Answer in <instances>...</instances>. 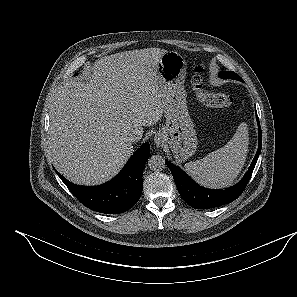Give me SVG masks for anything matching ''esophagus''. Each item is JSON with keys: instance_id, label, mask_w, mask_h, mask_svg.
<instances>
[{"instance_id": "esophagus-1", "label": "esophagus", "mask_w": 297, "mask_h": 297, "mask_svg": "<svg viewBox=\"0 0 297 297\" xmlns=\"http://www.w3.org/2000/svg\"><path fill=\"white\" fill-rule=\"evenodd\" d=\"M154 140H155V143L157 144V146H160L163 143V141L161 140L160 137H155Z\"/></svg>"}]
</instances>
